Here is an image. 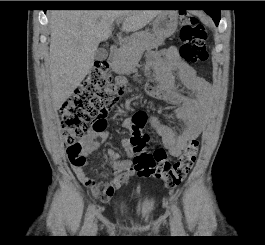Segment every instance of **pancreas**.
<instances>
[{"instance_id": "cf45deb5", "label": "pancreas", "mask_w": 265, "mask_h": 245, "mask_svg": "<svg viewBox=\"0 0 265 245\" xmlns=\"http://www.w3.org/2000/svg\"><path fill=\"white\" fill-rule=\"evenodd\" d=\"M164 44V39L157 38L148 31L133 34L114 56L112 69L117 74H130L138 65L146 48H157Z\"/></svg>"}]
</instances>
